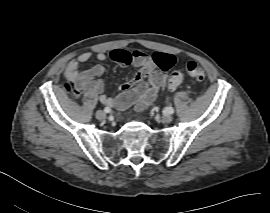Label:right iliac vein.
<instances>
[{"instance_id": "1", "label": "right iliac vein", "mask_w": 270, "mask_h": 213, "mask_svg": "<svg viewBox=\"0 0 270 213\" xmlns=\"http://www.w3.org/2000/svg\"><path fill=\"white\" fill-rule=\"evenodd\" d=\"M96 117H97V119H99V120H104V119L106 118V114H105L104 111L98 110V111L96 112Z\"/></svg>"}]
</instances>
